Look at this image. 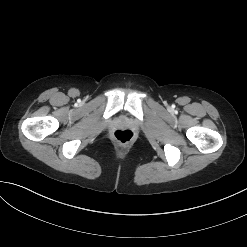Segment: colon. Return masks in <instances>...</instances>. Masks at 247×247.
Listing matches in <instances>:
<instances>
[{
    "label": "colon",
    "mask_w": 247,
    "mask_h": 247,
    "mask_svg": "<svg viewBox=\"0 0 247 247\" xmlns=\"http://www.w3.org/2000/svg\"><path fill=\"white\" fill-rule=\"evenodd\" d=\"M114 137L118 142L126 144L133 139L134 133L129 129H118L114 132Z\"/></svg>",
    "instance_id": "5ec220e1"
}]
</instances>
